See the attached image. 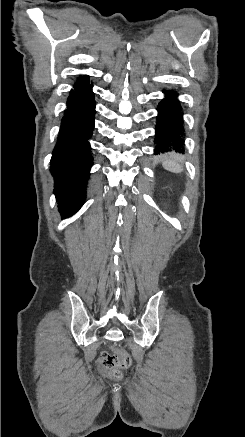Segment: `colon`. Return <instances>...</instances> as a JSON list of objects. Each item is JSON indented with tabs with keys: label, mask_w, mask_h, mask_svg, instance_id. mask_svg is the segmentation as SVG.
Segmentation results:
<instances>
[{
	"label": "colon",
	"mask_w": 245,
	"mask_h": 437,
	"mask_svg": "<svg viewBox=\"0 0 245 437\" xmlns=\"http://www.w3.org/2000/svg\"><path fill=\"white\" fill-rule=\"evenodd\" d=\"M99 365L107 375L119 378L121 371L131 365V358L124 350L116 349L113 354L102 353L99 357Z\"/></svg>",
	"instance_id": "5ec220e1"
}]
</instances>
